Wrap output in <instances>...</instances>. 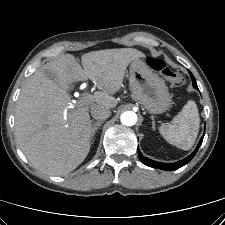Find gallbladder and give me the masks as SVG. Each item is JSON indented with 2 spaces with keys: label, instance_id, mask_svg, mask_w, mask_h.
<instances>
[{
  "label": "gallbladder",
  "instance_id": "obj_1",
  "mask_svg": "<svg viewBox=\"0 0 225 225\" xmlns=\"http://www.w3.org/2000/svg\"><path fill=\"white\" fill-rule=\"evenodd\" d=\"M44 74H45L49 79H51L53 82L58 83V77H57L54 73H52V72H50V71H48V70H45V71H44Z\"/></svg>",
  "mask_w": 225,
  "mask_h": 225
}]
</instances>
